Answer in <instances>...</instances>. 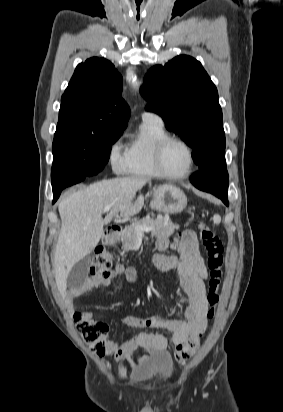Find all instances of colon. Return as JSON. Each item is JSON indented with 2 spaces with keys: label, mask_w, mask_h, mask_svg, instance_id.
Segmentation results:
<instances>
[{
  "label": "colon",
  "mask_w": 283,
  "mask_h": 412,
  "mask_svg": "<svg viewBox=\"0 0 283 412\" xmlns=\"http://www.w3.org/2000/svg\"><path fill=\"white\" fill-rule=\"evenodd\" d=\"M199 232L202 244L207 251V264L210 272L206 296L209 306L207 315L209 318H213L215 308L219 302V288L224 265V247L217 234L207 225L201 224ZM113 272L111 255L104 247H98L91 259V276L96 279H105L110 277ZM73 319L75 327L84 343L96 355H104L109 334L108 325L92 317H87L82 313H75ZM201 337L202 333L198 335V339ZM190 345L192 348L195 346V343L191 342Z\"/></svg>",
  "instance_id": "colon-1"
}]
</instances>
